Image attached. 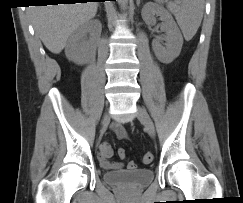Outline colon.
Returning <instances> with one entry per match:
<instances>
[{
  "instance_id": "colon-1",
  "label": "colon",
  "mask_w": 243,
  "mask_h": 203,
  "mask_svg": "<svg viewBox=\"0 0 243 203\" xmlns=\"http://www.w3.org/2000/svg\"><path fill=\"white\" fill-rule=\"evenodd\" d=\"M119 154L120 155H125V150L124 149H119ZM153 161V154L152 153H146L143 157H142V162L144 164H150ZM136 164L134 162H129L128 163V169L132 170L135 169Z\"/></svg>"
}]
</instances>
